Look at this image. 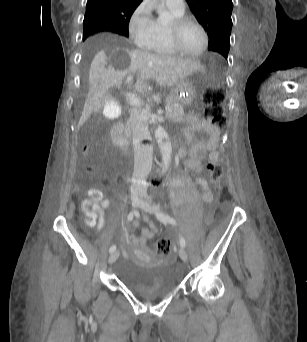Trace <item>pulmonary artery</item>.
<instances>
[{
  "label": "pulmonary artery",
  "instance_id": "1",
  "mask_svg": "<svg viewBox=\"0 0 307 342\" xmlns=\"http://www.w3.org/2000/svg\"><path fill=\"white\" fill-rule=\"evenodd\" d=\"M167 8L175 14H183L185 11V1H163Z\"/></svg>",
  "mask_w": 307,
  "mask_h": 342
}]
</instances>
